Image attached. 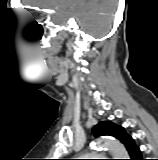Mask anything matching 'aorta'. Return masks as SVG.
<instances>
[{"mask_svg": "<svg viewBox=\"0 0 158 160\" xmlns=\"http://www.w3.org/2000/svg\"><path fill=\"white\" fill-rule=\"evenodd\" d=\"M94 146L96 148H107L111 152L113 159H128L129 157L123 144L111 137L95 140Z\"/></svg>", "mask_w": 158, "mask_h": 160, "instance_id": "1", "label": "aorta"}]
</instances>
